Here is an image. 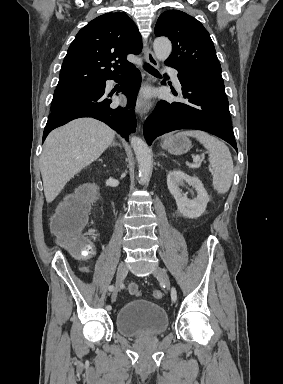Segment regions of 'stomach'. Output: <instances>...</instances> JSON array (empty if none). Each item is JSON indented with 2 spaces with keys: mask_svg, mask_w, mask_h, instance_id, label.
I'll use <instances>...</instances> for the list:
<instances>
[{
  "mask_svg": "<svg viewBox=\"0 0 283 384\" xmlns=\"http://www.w3.org/2000/svg\"><path fill=\"white\" fill-rule=\"evenodd\" d=\"M163 150H168L170 154H175V156H180V154H186L191 148V142L185 136H165L162 142Z\"/></svg>",
  "mask_w": 283,
  "mask_h": 384,
  "instance_id": "obj_1",
  "label": "stomach"
}]
</instances>
